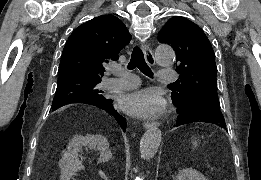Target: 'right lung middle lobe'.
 <instances>
[{
	"mask_svg": "<svg viewBox=\"0 0 261 180\" xmlns=\"http://www.w3.org/2000/svg\"><path fill=\"white\" fill-rule=\"evenodd\" d=\"M100 82L101 80H68L58 82L52 109L56 110L78 99L98 100L104 98L103 92L97 86Z\"/></svg>",
	"mask_w": 261,
	"mask_h": 180,
	"instance_id": "dd1d6c3e",
	"label": "right lung middle lobe"
}]
</instances>
